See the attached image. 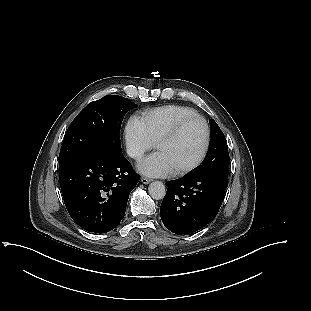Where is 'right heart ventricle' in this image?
Instances as JSON below:
<instances>
[{
	"instance_id": "1",
	"label": "right heart ventricle",
	"mask_w": 311,
	"mask_h": 311,
	"mask_svg": "<svg viewBox=\"0 0 311 311\" xmlns=\"http://www.w3.org/2000/svg\"><path fill=\"white\" fill-rule=\"evenodd\" d=\"M192 115H197V113L190 107L169 104L143 111L141 113V121L150 139L155 142L162 133L172 127L177 121Z\"/></svg>"
}]
</instances>
